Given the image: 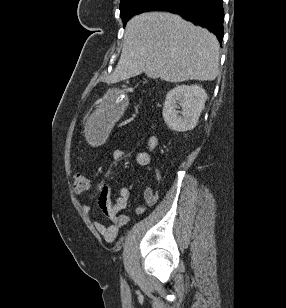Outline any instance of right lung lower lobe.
<instances>
[{
  "label": "right lung lower lobe",
  "instance_id": "obj_1",
  "mask_svg": "<svg viewBox=\"0 0 286 308\" xmlns=\"http://www.w3.org/2000/svg\"><path fill=\"white\" fill-rule=\"evenodd\" d=\"M223 0H168L153 11H167L211 30L222 42L224 28Z\"/></svg>",
  "mask_w": 286,
  "mask_h": 308
}]
</instances>
